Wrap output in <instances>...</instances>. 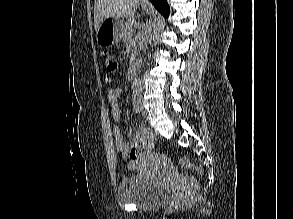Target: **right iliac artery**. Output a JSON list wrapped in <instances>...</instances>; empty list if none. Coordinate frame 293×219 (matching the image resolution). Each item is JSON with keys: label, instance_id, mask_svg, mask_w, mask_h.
I'll use <instances>...</instances> for the list:
<instances>
[{"label": "right iliac artery", "instance_id": "1", "mask_svg": "<svg viewBox=\"0 0 293 219\" xmlns=\"http://www.w3.org/2000/svg\"><path fill=\"white\" fill-rule=\"evenodd\" d=\"M133 109L135 113H139L141 111V102H140L139 92H134L133 94Z\"/></svg>", "mask_w": 293, "mask_h": 219}]
</instances>
